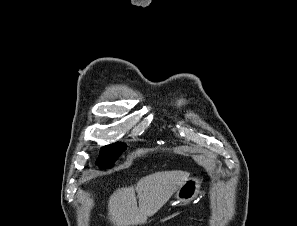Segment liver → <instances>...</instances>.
Instances as JSON below:
<instances>
[{
  "label": "liver",
  "instance_id": "1",
  "mask_svg": "<svg viewBox=\"0 0 297 226\" xmlns=\"http://www.w3.org/2000/svg\"><path fill=\"white\" fill-rule=\"evenodd\" d=\"M188 178L185 171H162L140 179L135 186L117 189L108 202L110 222L113 226L145 224Z\"/></svg>",
  "mask_w": 297,
  "mask_h": 226
}]
</instances>
